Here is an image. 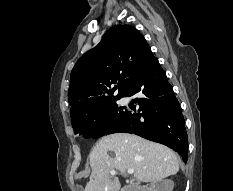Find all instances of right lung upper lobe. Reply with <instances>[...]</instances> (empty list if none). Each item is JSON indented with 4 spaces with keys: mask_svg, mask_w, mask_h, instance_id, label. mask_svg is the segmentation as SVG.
Returning a JSON list of instances; mask_svg holds the SVG:
<instances>
[{
    "mask_svg": "<svg viewBox=\"0 0 233 191\" xmlns=\"http://www.w3.org/2000/svg\"><path fill=\"white\" fill-rule=\"evenodd\" d=\"M152 53L144 37L133 26L110 28L100 43L86 52L71 71L68 100L71 117L98 105L124 97L143 72ZM118 83L119 91L113 96Z\"/></svg>",
    "mask_w": 233,
    "mask_h": 191,
    "instance_id": "obj_1",
    "label": "right lung upper lobe"
}]
</instances>
